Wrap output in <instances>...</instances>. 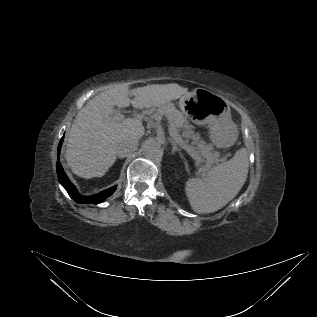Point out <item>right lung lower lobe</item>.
Instances as JSON below:
<instances>
[{
    "label": "right lung lower lobe",
    "mask_w": 317,
    "mask_h": 317,
    "mask_svg": "<svg viewBox=\"0 0 317 317\" xmlns=\"http://www.w3.org/2000/svg\"><path fill=\"white\" fill-rule=\"evenodd\" d=\"M64 136L61 138L59 146H58V159H59V153L61 149V145L63 142ZM57 175L59 182L61 185L66 189L69 196L77 203H90V204H98L104 201L107 197L112 195L114 191L116 190V186H113L105 191H102L98 194H95L93 196H82L78 193L76 187L71 183V181L68 179L67 175L65 174L63 167L61 166L59 160L57 161Z\"/></svg>",
    "instance_id": "1"
}]
</instances>
